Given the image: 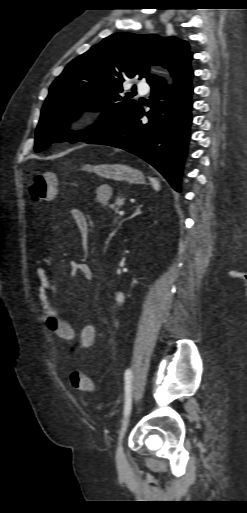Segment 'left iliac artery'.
I'll use <instances>...</instances> for the list:
<instances>
[{
	"label": "left iliac artery",
	"mask_w": 247,
	"mask_h": 513,
	"mask_svg": "<svg viewBox=\"0 0 247 513\" xmlns=\"http://www.w3.org/2000/svg\"><path fill=\"white\" fill-rule=\"evenodd\" d=\"M132 370L126 369L124 374L125 381V405H124V416H126L131 410L132 404Z\"/></svg>",
	"instance_id": "obj_1"
}]
</instances>
